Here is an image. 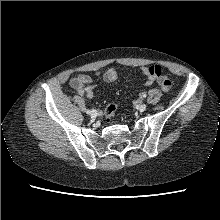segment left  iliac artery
Here are the masks:
<instances>
[{"mask_svg": "<svg viewBox=\"0 0 220 220\" xmlns=\"http://www.w3.org/2000/svg\"><path fill=\"white\" fill-rule=\"evenodd\" d=\"M141 98H145L147 96V94L145 92L140 94Z\"/></svg>", "mask_w": 220, "mask_h": 220, "instance_id": "left-iliac-artery-1", "label": "left iliac artery"}]
</instances>
